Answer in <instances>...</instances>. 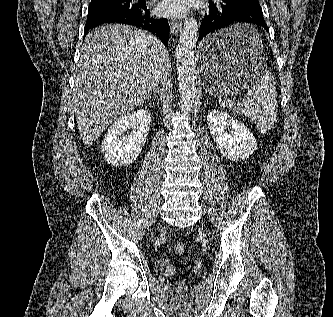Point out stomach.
<instances>
[{
  "mask_svg": "<svg viewBox=\"0 0 333 317\" xmlns=\"http://www.w3.org/2000/svg\"><path fill=\"white\" fill-rule=\"evenodd\" d=\"M256 40V41H253ZM199 56L203 81L199 88L213 96L241 93L267 74L262 62V41L255 24H228V29L206 33Z\"/></svg>",
  "mask_w": 333,
  "mask_h": 317,
  "instance_id": "obj_1",
  "label": "stomach"
}]
</instances>
